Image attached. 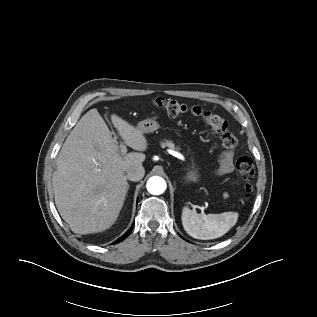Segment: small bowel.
I'll list each match as a JSON object with an SVG mask.
<instances>
[{
	"label": "small bowel",
	"instance_id": "c3829d8e",
	"mask_svg": "<svg viewBox=\"0 0 317 317\" xmlns=\"http://www.w3.org/2000/svg\"><path fill=\"white\" fill-rule=\"evenodd\" d=\"M233 170V152L226 151L223 152L219 158L218 167L216 173L218 175L229 174Z\"/></svg>",
	"mask_w": 317,
	"mask_h": 317
}]
</instances>
